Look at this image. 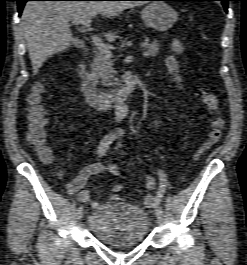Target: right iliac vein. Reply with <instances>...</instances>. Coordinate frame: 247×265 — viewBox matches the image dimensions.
Here are the masks:
<instances>
[{
    "label": "right iliac vein",
    "instance_id": "obj_1",
    "mask_svg": "<svg viewBox=\"0 0 247 265\" xmlns=\"http://www.w3.org/2000/svg\"><path fill=\"white\" fill-rule=\"evenodd\" d=\"M84 214L83 206H79L76 212V218L77 220H80Z\"/></svg>",
    "mask_w": 247,
    "mask_h": 265
}]
</instances>
